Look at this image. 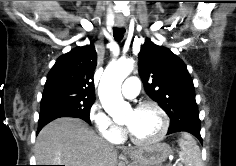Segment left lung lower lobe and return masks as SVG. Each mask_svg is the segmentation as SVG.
I'll return each instance as SVG.
<instances>
[{"mask_svg":"<svg viewBox=\"0 0 236 166\" xmlns=\"http://www.w3.org/2000/svg\"><path fill=\"white\" fill-rule=\"evenodd\" d=\"M201 123L199 120L198 110L196 112H191L188 116L170 123V127L167 134H172L176 132H188L197 137L202 143V138L200 136Z\"/></svg>","mask_w":236,"mask_h":166,"instance_id":"left-lung-lower-lobe-1","label":"left lung lower lobe"}]
</instances>
